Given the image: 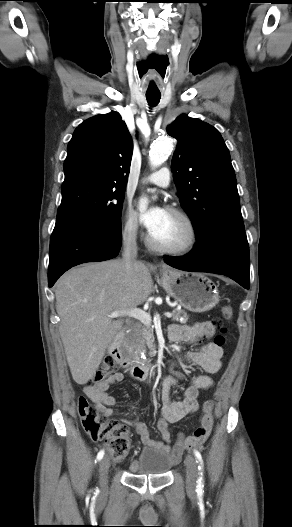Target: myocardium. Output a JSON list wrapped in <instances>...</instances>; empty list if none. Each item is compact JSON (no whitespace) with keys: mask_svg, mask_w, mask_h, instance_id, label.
<instances>
[{"mask_svg":"<svg viewBox=\"0 0 292 527\" xmlns=\"http://www.w3.org/2000/svg\"><path fill=\"white\" fill-rule=\"evenodd\" d=\"M166 212L178 217L184 222L187 228L186 240L179 245L169 246L156 242L151 235L148 234L146 237L148 246L157 252L171 255H184L191 252L198 242V229L193 218L184 210L176 207H169Z\"/></svg>","mask_w":292,"mask_h":527,"instance_id":"myocardium-1","label":"myocardium"}]
</instances>
